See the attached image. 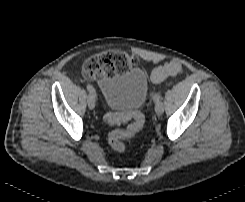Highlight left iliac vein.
Listing matches in <instances>:
<instances>
[{
    "label": "left iliac vein",
    "instance_id": "1",
    "mask_svg": "<svg viewBox=\"0 0 245 202\" xmlns=\"http://www.w3.org/2000/svg\"><path fill=\"white\" fill-rule=\"evenodd\" d=\"M155 112L157 113V115H161L164 112V105L162 102L156 104Z\"/></svg>",
    "mask_w": 245,
    "mask_h": 202
}]
</instances>
